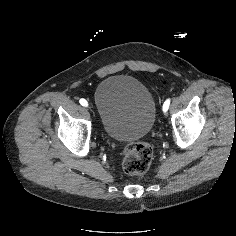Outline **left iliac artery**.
<instances>
[{"label":"left iliac artery","mask_w":236,"mask_h":236,"mask_svg":"<svg viewBox=\"0 0 236 236\" xmlns=\"http://www.w3.org/2000/svg\"><path fill=\"white\" fill-rule=\"evenodd\" d=\"M169 105H170V99H167L164 104H163V109H169Z\"/></svg>","instance_id":"1"}]
</instances>
